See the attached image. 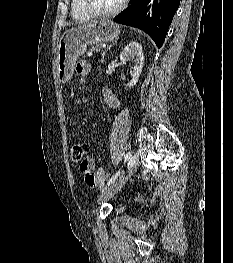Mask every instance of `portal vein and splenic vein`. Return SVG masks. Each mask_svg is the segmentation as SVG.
Returning <instances> with one entry per match:
<instances>
[{
	"label": "portal vein and splenic vein",
	"mask_w": 233,
	"mask_h": 263,
	"mask_svg": "<svg viewBox=\"0 0 233 263\" xmlns=\"http://www.w3.org/2000/svg\"><path fill=\"white\" fill-rule=\"evenodd\" d=\"M87 55H88V56H92V52H89Z\"/></svg>",
	"instance_id": "1"
}]
</instances>
